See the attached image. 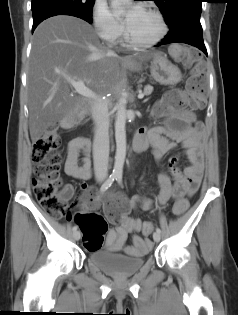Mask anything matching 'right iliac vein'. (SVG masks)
<instances>
[{"mask_svg": "<svg viewBox=\"0 0 238 315\" xmlns=\"http://www.w3.org/2000/svg\"><path fill=\"white\" fill-rule=\"evenodd\" d=\"M73 237H74L75 240H79L80 237H81L80 231H75V232L73 233Z\"/></svg>", "mask_w": 238, "mask_h": 315, "instance_id": "right-iliac-vein-1", "label": "right iliac vein"}]
</instances>
